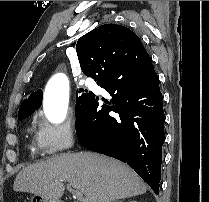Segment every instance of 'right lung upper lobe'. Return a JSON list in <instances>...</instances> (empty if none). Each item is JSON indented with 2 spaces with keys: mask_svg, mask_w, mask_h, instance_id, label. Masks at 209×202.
<instances>
[{
  "mask_svg": "<svg viewBox=\"0 0 209 202\" xmlns=\"http://www.w3.org/2000/svg\"><path fill=\"white\" fill-rule=\"evenodd\" d=\"M76 51L82 72L98 84L106 79L125 84L129 75L143 73L141 59L148 56L140 38L117 24H104L88 32L79 38ZM42 96V91L37 90L23 101L20 109L40 107Z\"/></svg>",
  "mask_w": 209,
  "mask_h": 202,
  "instance_id": "cb5924a9",
  "label": "right lung upper lobe"
}]
</instances>
